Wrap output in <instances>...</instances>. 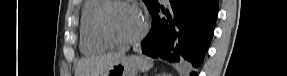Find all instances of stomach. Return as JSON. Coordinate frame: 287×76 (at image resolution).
<instances>
[{
    "label": "stomach",
    "instance_id": "0dacf381",
    "mask_svg": "<svg viewBox=\"0 0 287 76\" xmlns=\"http://www.w3.org/2000/svg\"><path fill=\"white\" fill-rule=\"evenodd\" d=\"M139 63L132 56H122L103 76H136Z\"/></svg>",
    "mask_w": 287,
    "mask_h": 76
}]
</instances>
